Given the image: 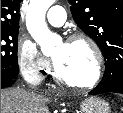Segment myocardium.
<instances>
[{"label":"myocardium","mask_w":123,"mask_h":113,"mask_svg":"<svg viewBox=\"0 0 123 113\" xmlns=\"http://www.w3.org/2000/svg\"><path fill=\"white\" fill-rule=\"evenodd\" d=\"M75 42H85L92 50L95 59V70L93 77L89 81L84 83L70 80L60 72L55 61H53V76L58 82L65 84L67 86L81 90L91 89L95 87L102 78L104 65L103 52L99 47V45L97 44V42L87 34L75 33L67 39L66 44H71Z\"/></svg>","instance_id":"f54148a6"}]
</instances>
